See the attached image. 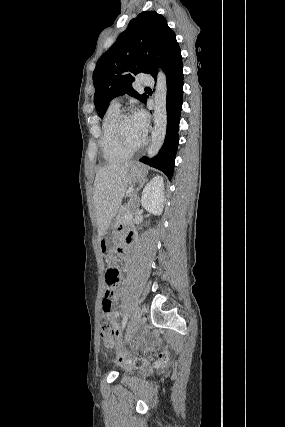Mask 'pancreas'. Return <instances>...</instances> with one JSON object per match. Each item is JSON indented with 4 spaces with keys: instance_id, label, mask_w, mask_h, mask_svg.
Here are the masks:
<instances>
[{
    "instance_id": "pancreas-1",
    "label": "pancreas",
    "mask_w": 285,
    "mask_h": 427,
    "mask_svg": "<svg viewBox=\"0 0 285 427\" xmlns=\"http://www.w3.org/2000/svg\"><path fill=\"white\" fill-rule=\"evenodd\" d=\"M130 214V218H125L126 215ZM132 214H133V208L131 207V204L128 206H122L118 212V216L116 218V224H129L132 222Z\"/></svg>"
}]
</instances>
